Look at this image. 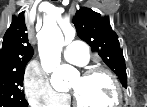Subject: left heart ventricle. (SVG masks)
<instances>
[{
	"label": "left heart ventricle",
	"instance_id": "left-heart-ventricle-1",
	"mask_svg": "<svg viewBox=\"0 0 147 107\" xmlns=\"http://www.w3.org/2000/svg\"><path fill=\"white\" fill-rule=\"evenodd\" d=\"M77 99L89 107H111L115 102V88L111 80L98 74L90 78L79 76L71 83Z\"/></svg>",
	"mask_w": 147,
	"mask_h": 107
}]
</instances>
